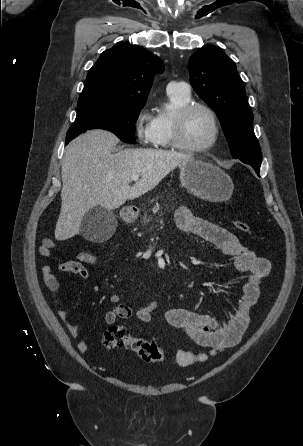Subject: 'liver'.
<instances>
[{
	"instance_id": "obj_1",
	"label": "liver",
	"mask_w": 303,
	"mask_h": 446,
	"mask_svg": "<svg viewBox=\"0 0 303 446\" xmlns=\"http://www.w3.org/2000/svg\"><path fill=\"white\" fill-rule=\"evenodd\" d=\"M118 138L91 130L71 141L62 162L61 211L55 238L67 240L80 231L90 209L114 210L152 190L191 155L157 149H124L112 154ZM141 177L132 186L131 176Z\"/></svg>"
}]
</instances>
